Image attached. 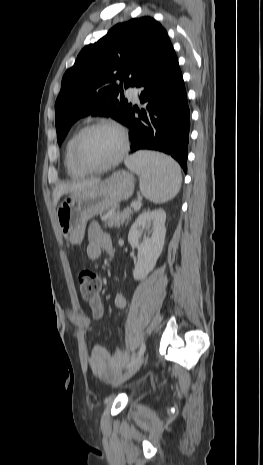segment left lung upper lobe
Returning <instances> with one entry per match:
<instances>
[{"instance_id": "left-lung-upper-lobe-1", "label": "left lung upper lobe", "mask_w": 263, "mask_h": 465, "mask_svg": "<svg viewBox=\"0 0 263 465\" xmlns=\"http://www.w3.org/2000/svg\"><path fill=\"white\" fill-rule=\"evenodd\" d=\"M169 42L161 24L147 16L119 23L83 48L64 74L55 103L58 143L75 121L89 114L111 116L124 123L132 106L117 99L123 83L125 88L134 86ZM117 79L120 86L115 84Z\"/></svg>"}]
</instances>
